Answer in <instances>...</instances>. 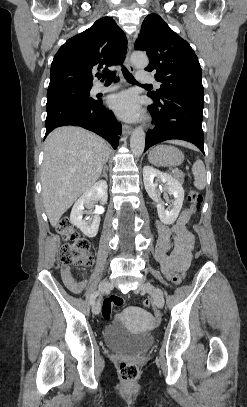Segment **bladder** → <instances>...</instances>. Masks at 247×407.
Segmentation results:
<instances>
[{
	"instance_id": "obj_1",
	"label": "bladder",
	"mask_w": 247,
	"mask_h": 407,
	"mask_svg": "<svg viewBox=\"0 0 247 407\" xmlns=\"http://www.w3.org/2000/svg\"><path fill=\"white\" fill-rule=\"evenodd\" d=\"M104 341L112 350L120 353L137 354L147 350L154 341L153 334L129 329L120 319L109 323L103 331Z\"/></svg>"
}]
</instances>
